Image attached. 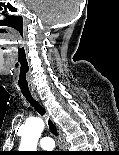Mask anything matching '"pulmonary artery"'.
Listing matches in <instances>:
<instances>
[{"label": "pulmonary artery", "instance_id": "e3ab8cb5", "mask_svg": "<svg viewBox=\"0 0 119 155\" xmlns=\"http://www.w3.org/2000/svg\"><path fill=\"white\" fill-rule=\"evenodd\" d=\"M39 145L44 150H51L55 146V142L51 137H43L39 141Z\"/></svg>", "mask_w": 119, "mask_h": 155}]
</instances>
